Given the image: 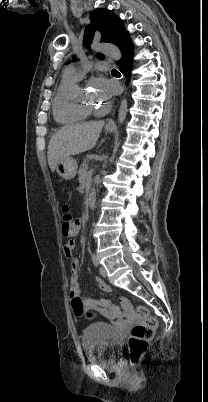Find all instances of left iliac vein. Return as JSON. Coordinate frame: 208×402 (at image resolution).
<instances>
[{"mask_svg": "<svg viewBox=\"0 0 208 402\" xmlns=\"http://www.w3.org/2000/svg\"><path fill=\"white\" fill-rule=\"evenodd\" d=\"M99 273L102 277H106L107 276V271L103 266L99 267Z\"/></svg>", "mask_w": 208, "mask_h": 402, "instance_id": "4c4485c4", "label": "left iliac vein"}]
</instances>
